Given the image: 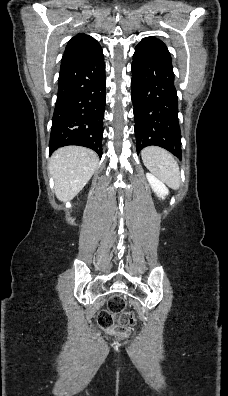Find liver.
I'll use <instances>...</instances> for the list:
<instances>
[{
    "label": "liver",
    "mask_w": 228,
    "mask_h": 396,
    "mask_svg": "<svg viewBox=\"0 0 228 396\" xmlns=\"http://www.w3.org/2000/svg\"><path fill=\"white\" fill-rule=\"evenodd\" d=\"M98 160L94 151L80 146H66L54 152L49 172L57 198L63 202L74 198L94 174Z\"/></svg>",
    "instance_id": "obj_1"
}]
</instances>
